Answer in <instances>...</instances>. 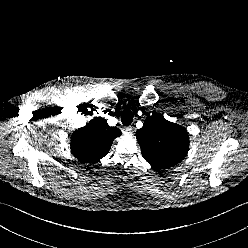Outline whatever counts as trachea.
Listing matches in <instances>:
<instances>
[{
  "label": "trachea",
  "mask_w": 248,
  "mask_h": 248,
  "mask_svg": "<svg viewBox=\"0 0 248 248\" xmlns=\"http://www.w3.org/2000/svg\"><path fill=\"white\" fill-rule=\"evenodd\" d=\"M133 121V113L130 109L125 108L121 113V122L124 126H129Z\"/></svg>",
  "instance_id": "trachea-1"
}]
</instances>
